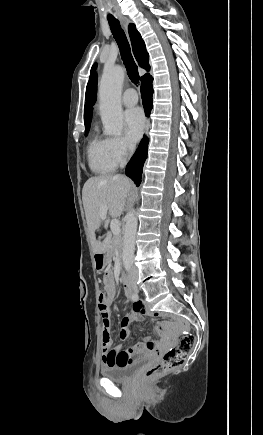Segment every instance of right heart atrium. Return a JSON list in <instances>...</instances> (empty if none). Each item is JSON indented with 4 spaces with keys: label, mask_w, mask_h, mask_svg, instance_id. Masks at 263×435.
Here are the masks:
<instances>
[{
    "label": "right heart atrium",
    "mask_w": 263,
    "mask_h": 435,
    "mask_svg": "<svg viewBox=\"0 0 263 435\" xmlns=\"http://www.w3.org/2000/svg\"><path fill=\"white\" fill-rule=\"evenodd\" d=\"M111 153L117 164L124 162L132 152V145L123 137L110 138Z\"/></svg>",
    "instance_id": "1"
}]
</instances>
